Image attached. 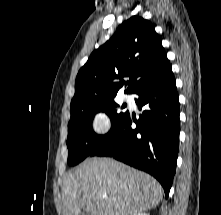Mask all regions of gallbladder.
I'll list each match as a JSON object with an SVG mask.
<instances>
[{
	"label": "gallbladder",
	"instance_id": "1",
	"mask_svg": "<svg viewBox=\"0 0 221 215\" xmlns=\"http://www.w3.org/2000/svg\"><path fill=\"white\" fill-rule=\"evenodd\" d=\"M80 215H90V214L87 213L85 210H83Z\"/></svg>",
	"mask_w": 221,
	"mask_h": 215
}]
</instances>
